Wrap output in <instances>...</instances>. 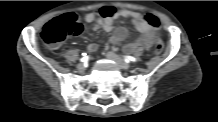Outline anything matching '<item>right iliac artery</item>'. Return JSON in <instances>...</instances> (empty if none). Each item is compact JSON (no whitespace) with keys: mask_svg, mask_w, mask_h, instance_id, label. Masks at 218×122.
Wrapping results in <instances>:
<instances>
[{"mask_svg":"<svg viewBox=\"0 0 218 122\" xmlns=\"http://www.w3.org/2000/svg\"><path fill=\"white\" fill-rule=\"evenodd\" d=\"M84 56L80 59L81 62H86L89 59V56L83 54Z\"/></svg>","mask_w":218,"mask_h":122,"instance_id":"82829eb1","label":"right iliac artery"}]
</instances>
